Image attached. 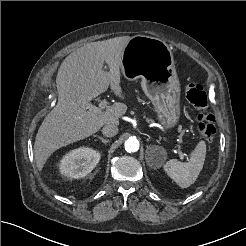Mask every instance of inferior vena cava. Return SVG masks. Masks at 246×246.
I'll use <instances>...</instances> for the list:
<instances>
[{
  "instance_id": "602c4592",
  "label": "inferior vena cava",
  "mask_w": 246,
  "mask_h": 246,
  "mask_svg": "<svg viewBox=\"0 0 246 246\" xmlns=\"http://www.w3.org/2000/svg\"><path fill=\"white\" fill-rule=\"evenodd\" d=\"M102 133L106 137H113L118 133V127L112 124L105 125L102 129Z\"/></svg>"
}]
</instances>
